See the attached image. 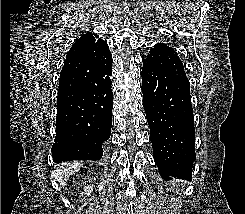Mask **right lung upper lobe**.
<instances>
[{"mask_svg": "<svg viewBox=\"0 0 245 214\" xmlns=\"http://www.w3.org/2000/svg\"><path fill=\"white\" fill-rule=\"evenodd\" d=\"M111 57L107 43L97 34L87 33L72 45L65 61L74 60L78 84L85 87Z\"/></svg>", "mask_w": 245, "mask_h": 214, "instance_id": "right-lung-upper-lobe-1", "label": "right lung upper lobe"}]
</instances>
